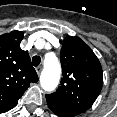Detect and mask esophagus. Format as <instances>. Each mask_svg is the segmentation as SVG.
I'll list each match as a JSON object with an SVG mask.
<instances>
[{
	"mask_svg": "<svg viewBox=\"0 0 117 117\" xmlns=\"http://www.w3.org/2000/svg\"><path fill=\"white\" fill-rule=\"evenodd\" d=\"M41 71H42V67L41 66L36 68V72H37L38 75L41 73Z\"/></svg>",
	"mask_w": 117,
	"mask_h": 117,
	"instance_id": "esophagus-1",
	"label": "esophagus"
}]
</instances>
